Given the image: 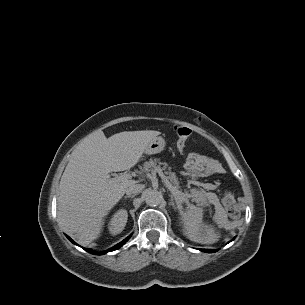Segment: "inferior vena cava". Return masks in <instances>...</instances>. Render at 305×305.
Instances as JSON below:
<instances>
[{
    "label": "inferior vena cava",
    "instance_id": "1",
    "mask_svg": "<svg viewBox=\"0 0 305 305\" xmlns=\"http://www.w3.org/2000/svg\"><path fill=\"white\" fill-rule=\"evenodd\" d=\"M143 188H144V185H142V184H134V185L130 186L129 188H127L126 194L131 195V194L140 193L143 190Z\"/></svg>",
    "mask_w": 305,
    "mask_h": 305
}]
</instances>
